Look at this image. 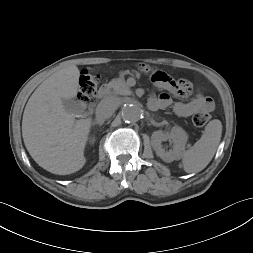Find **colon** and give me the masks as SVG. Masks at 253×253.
Masks as SVG:
<instances>
[{
  "instance_id": "obj_1",
  "label": "colon",
  "mask_w": 253,
  "mask_h": 253,
  "mask_svg": "<svg viewBox=\"0 0 253 253\" xmlns=\"http://www.w3.org/2000/svg\"><path fill=\"white\" fill-rule=\"evenodd\" d=\"M141 73L145 75H150L153 79H158L161 77L162 72L150 67L147 64H142L139 66ZM79 100L86 105L94 103L97 93L98 77L88 70H84L81 73L79 81ZM210 119V114L208 112H198L193 116V124L197 127L205 126Z\"/></svg>"
}]
</instances>
